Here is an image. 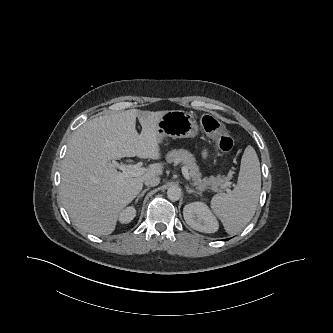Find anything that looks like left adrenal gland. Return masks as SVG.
<instances>
[{
    "label": "left adrenal gland",
    "mask_w": 333,
    "mask_h": 333,
    "mask_svg": "<svg viewBox=\"0 0 333 333\" xmlns=\"http://www.w3.org/2000/svg\"><path fill=\"white\" fill-rule=\"evenodd\" d=\"M185 188H186V191L190 194V193H196V194H199V195H201V193L199 192V191H196V190H194V189H191V188H189V186H185Z\"/></svg>",
    "instance_id": "obj_1"
}]
</instances>
